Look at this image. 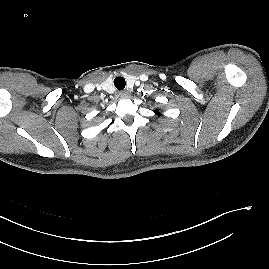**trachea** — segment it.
Instances as JSON below:
<instances>
[{
  "instance_id": "3493384b",
  "label": "trachea",
  "mask_w": 269,
  "mask_h": 269,
  "mask_svg": "<svg viewBox=\"0 0 269 269\" xmlns=\"http://www.w3.org/2000/svg\"><path fill=\"white\" fill-rule=\"evenodd\" d=\"M114 85L118 90H123L125 88L126 82L125 79L123 77H116L114 79Z\"/></svg>"
}]
</instances>
